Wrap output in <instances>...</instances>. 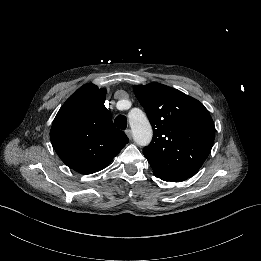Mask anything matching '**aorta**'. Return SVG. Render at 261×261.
Wrapping results in <instances>:
<instances>
[{"label":"aorta","instance_id":"obj_1","mask_svg":"<svg viewBox=\"0 0 261 261\" xmlns=\"http://www.w3.org/2000/svg\"><path fill=\"white\" fill-rule=\"evenodd\" d=\"M127 119L130 124L133 141L139 147H147L153 138L152 126L139 107L131 108L127 113Z\"/></svg>","mask_w":261,"mask_h":261}]
</instances>
